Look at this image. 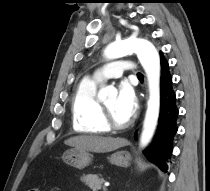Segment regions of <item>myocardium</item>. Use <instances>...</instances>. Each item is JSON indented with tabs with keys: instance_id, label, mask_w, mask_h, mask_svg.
<instances>
[{
	"instance_id": "obj_1",
	"label": "myocardium",
	"mask_w": 210,
	"mask_h": 191,
	"mask_svg": "<svg viewBox=\"0 0 210 191\" xmlns=\"http://www.w3.org/2000/svg\"><path fill=\"white\" fill-rule=\"evenodd\" d=\"M102 121L108 130H123L128 128L131 125V120H128L125 123H117L108 108L103 102H100Z\"/></svg>"
}]
</instances>
